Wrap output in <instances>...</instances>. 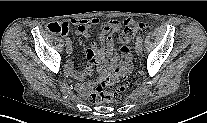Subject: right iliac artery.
<instances>
[{"mask_svg": "<svg viewBox=\"0 0 207 123\" xmlns=\"http://www.w3.org/2000/svg\"><path fill=\"white\" fill-rule=\"evenodd\" d=\"M66 44H71V41L69 38L66 39Z\"/></svg>", "mask_w": 207, "mask_h": 123, "instance_id": "1", "label": "right iliac artery"}]
</instances>
